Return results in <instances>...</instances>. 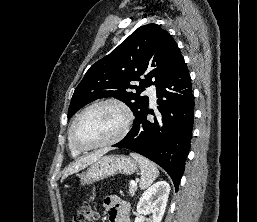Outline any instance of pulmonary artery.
<instances>
[{"mask_svg":"<svg viewBox=\"0 0 257 222\" xmlns=\"http://www.w3.org/2000/svg\"><path fill=\"white\" fill-rule=\"evenodd\" d=\"M146 93L149 94L151 102L154 103L155 100H156V90H155V87L154 86H150L149 88H147Z\"/></svg>","mask_w":257,"mask_h":222,"instance_id":"e3ab8cb5","label":"pulmonary artery"}]
</instances>
